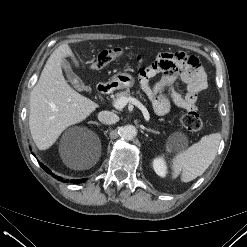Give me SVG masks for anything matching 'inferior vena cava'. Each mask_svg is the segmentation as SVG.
Returning <instances> with one entry per match:
<instances>
[{
  "mask_svg": "<svg viewBox=\"0 0 247 247\" xmlns=\"http://www.w3.org/2000/svg\"><path fill=\"white\" fill-rule=\"evenodd\" d=\"M98 120L102 122L103 124L110 125V124H114L118 122L119 117L113 112L101 111L98 114Z\"/></svg>",
  "mask_w": 247,
  "mask_h": 247,
  "instance_id": "602c4592",
  "label": "inferior vena cava"
}]
</instances>
